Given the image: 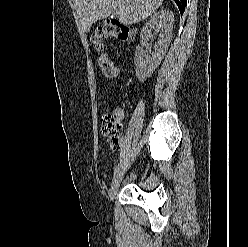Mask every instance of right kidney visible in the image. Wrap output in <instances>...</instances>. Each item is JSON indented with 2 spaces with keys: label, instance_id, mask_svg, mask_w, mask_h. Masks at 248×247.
Returning <instances> with one entry per match:
<instances>
[{
  "label": "right kidney",
  "instance_id": "ca27d5eb",
  "mask_svg": "<svg viewBox=\"0 0 248 247\" xmlns=\"http://www.w3.org/2000/svg\"><path fill=\"white\" fill-rule=\"evenodd\" d=\"M173 22V12L164 9L155 12L144 23L140 32L141 45L137 47L135 53V71L139 81L144 82L160 65L171 42ZM153 31L155 34L152 33ZM157 33H160L158 35V42L154 46L152 58L148 59L143 47L151 38L157 35Z\"/></svg>",
  "mask_w": 248,
  "mask_h": 247
}]
</instances>
